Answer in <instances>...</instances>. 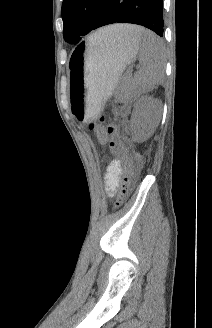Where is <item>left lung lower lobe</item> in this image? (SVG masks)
<instances>
[{"instance_id": "left-lung-lower-lobe-1", "label": "left lung lower lobe", "mask_w": 212, "mask_h": 328, "mask_svg": "<svg viewBox=\"0 0 212 328\" xmlns=\"http://www.w3.org/2000/svg\"><path fill=\"white\" fill-rule=\"evenodd\" d=\"M162 3L163 0H103L92 30L117 22L132 23L145 26L162 37Z\"/></svg>"}]
</instances>
